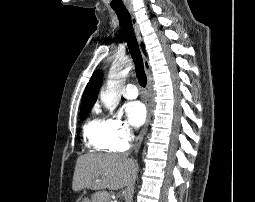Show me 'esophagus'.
<instances>
[{"instance_id":"obj_1","label":"esophagus","mask_w":255,"mask_h":202,"mask_svg":"<svg viewBox=\"0 0 255 202\" xmlns=\"http://www.w3.org/2000/svg\"><path fill=\"white\" fill-rule=\"evenodd\" d=\"M128 12H129V14L131 16V22H132L135 34L137 36V39L139 41H141L140 29H139V25L137 23V20L135 18L134 12H133L132 9H128ZM143 62H144V68H145V71H146V74H147V78H148V83H147V92H148V95H147V101H146L147 119H146V122H145L143 128L141 129V131H140V133H139V135L137 137L135 153H137L139 148H140V145H141V143L143 141V138H144V136L147 133L148 126H149L150 119H151V67H150L148 59L145 56H143Z\"/></svg>"}]
</instances>
